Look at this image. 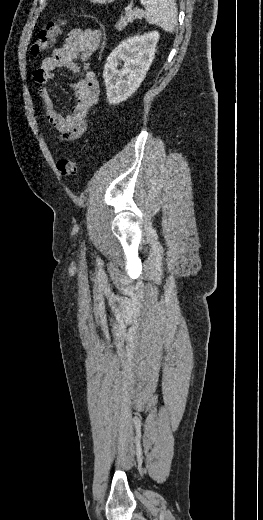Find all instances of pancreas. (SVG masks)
I'll return each mask as SVG.
<instances>
[{
    "instance_id": "pancreas-1",
    "label": "pancreas",
    "mask_w": 263,
    "mask_h": 520,
    "mask_svg": "<svg viewBox=\"0 0 263 520\" xmlns=\"http://www.w3.org/2000/svg\"><path fill=\"white\" fill-rule=\"evenodd\" d=\"M144 17V13L139 10V9H136V10H128L125 12V15L124 16H121L118 23L115 25L116 29L117 30H122L124 29L125 27H127V25L129 23H132L136 18L138 19H142Z\"/></svg>"
}]
</instances>
